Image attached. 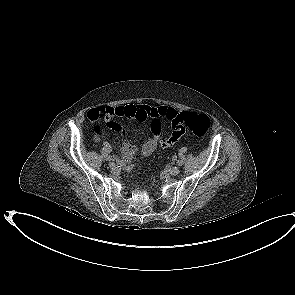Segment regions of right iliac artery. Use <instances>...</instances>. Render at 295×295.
I'll return each instance as SVG.
<instances>
[{
    "mask_svg": "<svg viewBox=\"0 0 295 295\" xmlns=\"http://www.w3.org/2000/svg\"><path fill=\"white\" fill-rule=\"evenodd\" d=\"M108 160L109 161H111V162H113L114 160L111 158V157H108Z\"/></svg>",
    "mask_w": 295,
    "mask_h": 295,
    "instance_id": "obj_1",
    "label": "right iliac artery"
}]
</instances>
